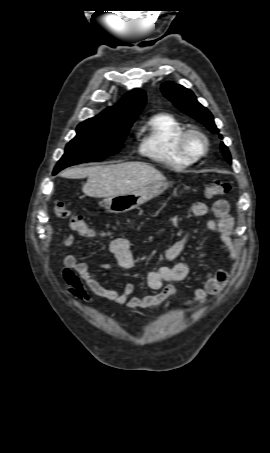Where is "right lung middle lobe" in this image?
Returning a JSON list of instances; mask_svg holds the SVG:
<instances>
[{
  "label": "right lung middle lobe",
  "mask_w": 270,
  "mask_h": 453,
  "mask_svg": "<svg viewBox=\"0 0 270 453\" xmlns=\"http://www.w3.org/2000/svg\"><path fill=\"white\" fill-rule=\"evenodd\" d=\"M130 127H115L88 120L80 123L76 137L67 144L53 174L71 165L100 161L116 154L123 147L122 142Z\"/></svg>",
  "instance_id": "obj_1"
}]
</instances>
